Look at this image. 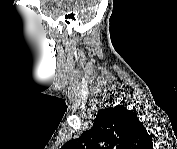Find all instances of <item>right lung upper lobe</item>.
Listing matches in <instances>:
<instances>
[{"label": "right lung upper lobe", "mask_w": 177, "mask_h": 149, "mask_svg": "<svg viewBox=\"0 0 177 149\" xmlns=\"http://www.w3.org/2000/svg\"><path fill=\"white\" fill-rule=\"evenodd\" d=\"M137 114L118 105L98 112L93 127L63 145V149H150Z\"/></svg>", "instance_id": "obj_1"}]
</instances>
